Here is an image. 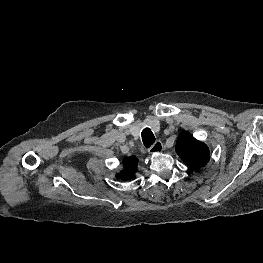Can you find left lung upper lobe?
I'll return each instance as SVG.
<instances>
[{
    "mask_svg": "<svg viewBox=\"0 0 263 263\" xmlns=\"http://www.w3.org/2000/svg\"><path fill=\"white\" fill-rule=\"evenodd\" d=\"M175 149L183 162L192 170L204 167L210 159L208 146L195 139L189 132H183L178 136Z\"/></svg>",
    "mask_w": 263,
    "mask_h": 263,
    "instance_id": "obj_1",
    "label": "left lung upper lobe"
}]
</instances>
